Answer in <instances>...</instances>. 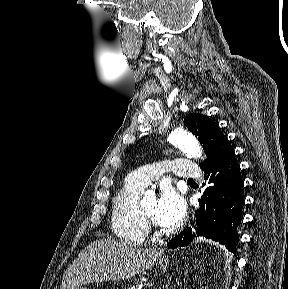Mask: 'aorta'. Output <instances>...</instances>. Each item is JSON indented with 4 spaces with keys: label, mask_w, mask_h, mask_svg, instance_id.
I'll return each instance as SVG.
<instances>
[{
    "label": "aorta",
    "mask_w": 288,
    "mask_h": 289,
    "mask_svg": "<svg viewBox=\"0 0 288 289\" xmlns=\"http://www.w3.org/2000/svg\"><path fill=\"white\" fill-rule=\"evenodd\" d=\"M169 142L187 156L200 158L202 150L198 141L182 128H177L169 135Z\"/></svg>",
    "instance_id": "762f6f07"
}]
</instances>
